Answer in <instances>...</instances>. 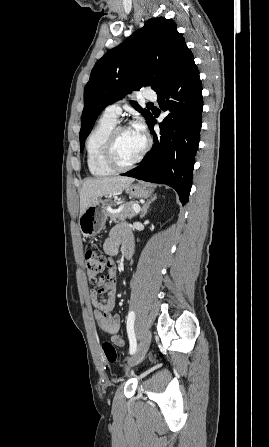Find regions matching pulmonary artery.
Instances as JSON below:
<instances>
[{"instance_id": "e3ab8cb5", "label": "pulmonary artery", "mask_w": 269, "mask_h": 447, "mask_svg": "<svg viewBox=\"0 0 269 447\" xmlns=\"http://www.w3.org/2000/svg\"><path fill=\"white\" fill-rule=\"evenodd\" d=\"M145 99H156L157 91L156 90H145L144 91ZM124 102V99L118 100L105 108L104 114L114 120H117L120 116L122 109L121 105Z\"/></svg>"}]
</instances>
